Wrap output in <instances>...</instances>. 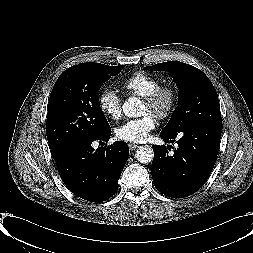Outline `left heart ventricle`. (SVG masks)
Segmentation results:
<instances>
[{
  "label": "left heart ventricle",
  "mask_w": 253,
  "mask_h": 253,
  "mask_svg": "<svg viewBox=\"0 0 253 253\" xmlns=\"http://www.w3.org/2000/svg\"><path fill=\"white\" fill-rule=\"evenodd\" d=\"M155 109L152 107H149L147 104L143 102L141 114H152L154 113Z\"/></svg>",
  "instance_id": "obj_1"
}]
</instances>
